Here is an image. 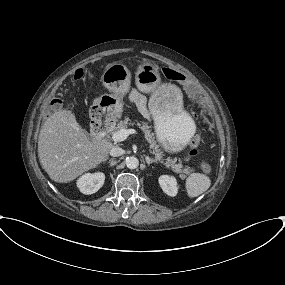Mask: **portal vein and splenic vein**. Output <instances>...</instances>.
I'll use <instances>...</instances> for the list:
<instances>
[{"label": "portal vein and splenic vein", "instance_id": "obj_1", "mask_svg": "<svg viewBox=\"0 0 285 285\" xmlns=\"http://www.w3.org/2000/svg\"><path fill=\"white\" fill-rule=\"evenodd\" d=\"M130 134H138V132L135 129H122L114 132L111 138L114 142H122L126 140Z\"/></svg>", "mask_w": 285, "mask_h": 285}]
</instances>
